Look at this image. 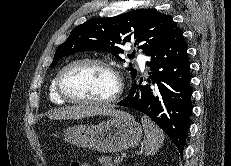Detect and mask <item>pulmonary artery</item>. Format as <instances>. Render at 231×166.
<instances>
[{
    "label": "pulmonary artery",
    "instance_id": "obj_1",
    "mask_svg": "<svg viewBox=\"0 0 231 166\" xmlns=\"http://www.w3.org/2000/svg\"><path fill=\"white\" fill-rule=\"evenodd\" d=\"M138 60H139V62H140V64H141V66L144 67L145 64H146V62H147V58L144 57V56H142V55H139V56H138Z\"/></svg>",
    "mask_w": 231,
    "mask_h": 166
}]
</instances>
